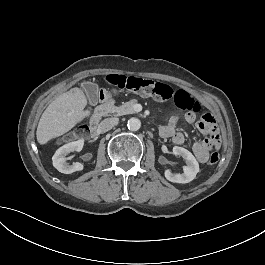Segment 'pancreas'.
<instances>
[{"instance_id": "1", "label": "pancreas", "mask_w": 265, "mask_h": 265, "mask_svg": "<svg viewBox=\"0 0 265 265\" xmlns=\"http://www.w3.org/2000/svg\"><path fill=\"white\" fill-rule=\"evenodd\" d=\"M137 104L136 99H132L128 102L123 103L121 106H112L109 107V111L114 114V116H122L126 114H133L135 113L134 106Z\"/></svg>"}]
</instances>
